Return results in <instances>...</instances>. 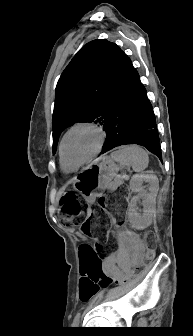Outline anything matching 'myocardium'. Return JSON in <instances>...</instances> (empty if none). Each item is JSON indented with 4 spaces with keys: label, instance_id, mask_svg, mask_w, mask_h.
<instances>
[{
    "label": "myocardium",
    "instance_id": "myocardium-1",
    "mask_svg": "<svg viewBox=\"0 0 193 336\" xmlns=\"http://www.w3.org/2000/svg\"><path fill=\"white\" fill-rule=\"evenodd\" d=\"M79 128H89L92 129L93 131H95L98 134V145L96 147V149L94 150V152L89 155L86 159H84L83 161L77 163V164H72L69 161L66 160L65 156H64V144L65 141L68 137V135L73 132L76 129ZM105 138H106V134L103 131V129L101 127H99L98 125H96L95 123H91V122H78L75 123L74 125H72L63 135L61 141H60V145H59V154H60V159L62 160V162L73 169H78L80 166L84 165L85 163L89 162L90 160H92L95 156H97L100 151L103 148V145L105 143Z\"/></svg>",
    "mask_w": 193,
    "mask_h": 336
}]
</instances>
